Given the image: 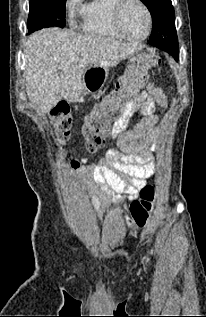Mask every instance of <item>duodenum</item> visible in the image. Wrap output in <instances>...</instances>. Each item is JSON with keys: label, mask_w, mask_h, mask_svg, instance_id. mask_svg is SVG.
<instances>
[{"label": "duodenum", "mask_w": 206, "mask_h": 317, "mask_svg": "<svg viewBox=\"0 0 206 317\" xmlns=\"http://www.w3.org/2000/svg\"><path fill=\"white\" fill-rule=\"evenodd\" d=\"M75 105H78V102H75Z\"/></svg>", "instance_id": "1"}]
</instances>
